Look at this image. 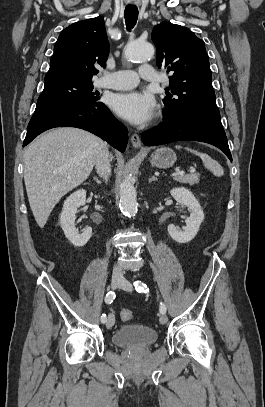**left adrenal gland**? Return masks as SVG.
I'll return each mask as SVG.
<instances>
[{"mask_svg": "<svg viewBox=\"0 0 265 407\" xmlns=\"http://www.w3.org/2000/svg\"><path fill=\"white\" fill-rule=\"evenodd\" d=\"M155 180H157V177L152 176V177L149 179V183H151L152 181H155Z\"/></svg>", "mask_w": 265, "mask_h": 407, "instance_id": "left-adrenal-gland-1", "label": "left adrenal gland"}]
</instances>
